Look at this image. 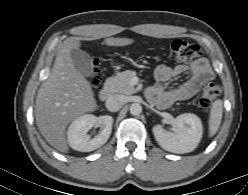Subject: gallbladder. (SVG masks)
Returning a JSON list of instances; mask_svg holds the SVG:
<instances>
[{
	"mask_svg": "<svg viewBox=\"0 0 248 195\" xmlns=\"http://www.w3.org/2000/svg\"><path fill=\"white\" fill-rule=\"evenodd\" d=\"M70 55L75 68L85 77L93 74V64L88 53L81 49H72Z\"/></svg>",
	"mask_w": 248,
	"mask_h": 195,
	"instance_id": "bac80fb5",
	"label": "gallbladder"
}]
</instances>
